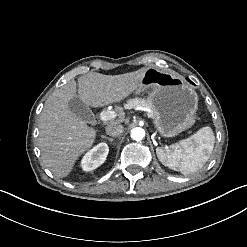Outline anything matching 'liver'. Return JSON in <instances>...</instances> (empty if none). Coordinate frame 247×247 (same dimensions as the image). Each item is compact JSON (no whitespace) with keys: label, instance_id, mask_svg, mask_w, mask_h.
<instances>
[{"label":"liver","instance_id":"obj_1","mask_svg":"<svg viewBox=\"0 0 247 247\" xmlns=\"http://www.w3.org/2000/svg\"><path fill=\"white\" fill-rule=\"evenodd\" d=\"M144 71L142 68L111 76L89 72L78 78V95L93 107L120 101L137 88ZM75 92L76 82L72 79L49 96L40 114L38 145L42 162L57 177L65 176L94 140L86 121L68 107Z\"/></svg>","mask_w":247,"mask_h":247}]
</instances>
